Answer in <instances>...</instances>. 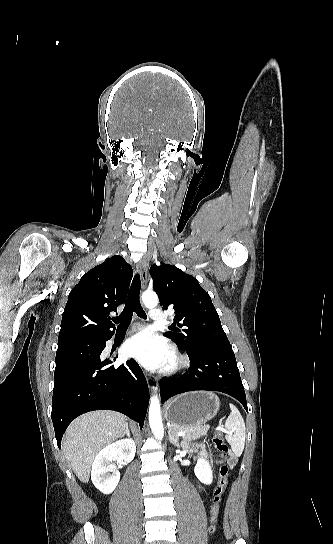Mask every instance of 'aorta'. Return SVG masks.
<instances>
[{"instance_id": "aorta-1", "label": "aorta", "mask_w": 333, "mask_h": 544, "mask_svg": "<svg viewBox=\"0 0 333 544\" xmlns=\"http://www.w3.org/2000/svg\"><path fill=\"white\" fill-rule=\"evenodd\" d=\"M142 300L148 308H154L158 304V296L154 291H145L142 294ZM149 424L156 439L162 440L164 429L161 419L160 402L157 395H153L150 399Z\"/></svg>"}]
</instances>
